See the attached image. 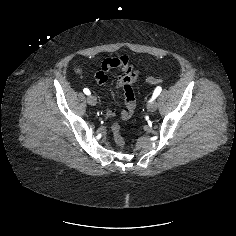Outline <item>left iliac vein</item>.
<instances>
[{"mask_svg": "<svg viewBox=\"0 0 236 236\" xmlns=\"http://www.w3.org/2000/svg\"><path fill=\"white\" fill-rule=\"evenodd\" d=\"M147 108L150 112H154L157 109V102L156 101H151L148 104Z\"/></svg>", "mask_w": 236, "mask_h": 236, "instance_id": "left-iliac-vein-1", "label": "left iliac vein"}]
</instances>
